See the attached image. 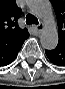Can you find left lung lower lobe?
Listing matches in <instances>:
<instances>
[{"instance_id": "left-lung-lower-lobe-1", "label": "left lung lower lobe", "mask_w": 65, "mask_h": 89, "mask_svg": "<svg viewBox=\"0 0 65 89\" xmlns=\"http://www.w3.org/2000/svg\"><path fill=\"white\" fill-rule=\"evenodd\" d=\"M49 60L58 66H65V38H59L54 50H45Z\"/></svg>"}]
</instances>
